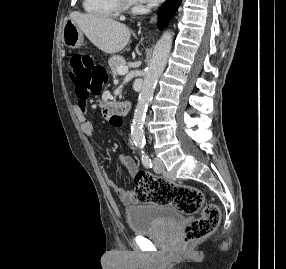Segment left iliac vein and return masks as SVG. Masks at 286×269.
Returning a JSON list of instances; mask_svg holds the SVG:
<instances>
[{"label": "left iliac vein", "mask_w": 286, "mask_h": 269, "mask_svg": "<svg viewBox=\"0 0 286 269\" xmlns=\"http://www.w3.org/2000/svg\"><path fill=\"white\" fill-rule=\"evenodd\" d=\"M153 162H154L155 172L163 173L164 175H166L165 166H164L163 162L161 161V159L155 158Z\"/></svg>", "instance_id": "obj_1"}]
</instances>
